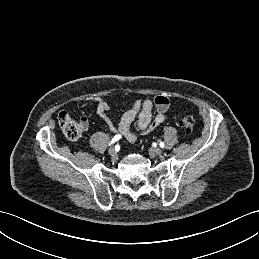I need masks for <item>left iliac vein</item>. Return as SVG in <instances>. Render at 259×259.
Returning <instances> with one entry per match:
<instances>
[{
    "mask_svg": "<svg viewBox=\"0 0 259 259\" xmlns=\"http://www.w3.org/2000/svg\"><path fill=\"white\" fill-rule=\"evenodd\" d=\"M149 154L151 156H158V155H161L162 154V149L159 148V147H155V148H151L149 150Z\"/></svg>",
    "mask_w": 259,
    "mask_h": 259,
    "instance_id": "obj_1",
    "label": "left iliac vein"
}]
</instances>
